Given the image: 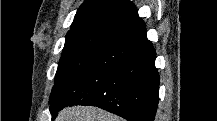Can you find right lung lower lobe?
Instances as JSON below:
<instances>
[{
	"instance_id": "1",
	"label": "right lung lower lobe",
	"mask_w": 217,
	"mask_h": 121,
	"mask_svg": "<svg viewBox=\"0 0 217 121\" xmlns=\"http://www.w3.org/2000/svg\"><path fill=\"white\" fill-rule=\"evenodd\" d=\"M155 58L145 24L137 17L83 73L50 99L53 118L66 106L91 105L128 121H154L160 83Z\"/></svg>"
}]
</instances>
